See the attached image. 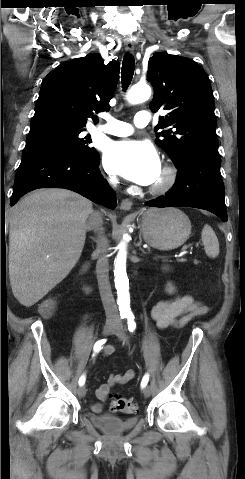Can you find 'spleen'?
I'll return each instance as SVG.
<instances>
[{"label": "spleen", "mask_w": 245, "mask_h": 479, "mask_svg": "<svg viewBox=\"0 0 245 479\" xmlns=\"http://www.w3.org/2000/svg\"><path fill=\"white\" fill-rule=\"evenodd\" d=\"M201 239L204 245L205 253L211 258L219 255V242L214 230L208 224H205L201 233Z\"/></svg>", "instance_id": "1"}]
</instances>
